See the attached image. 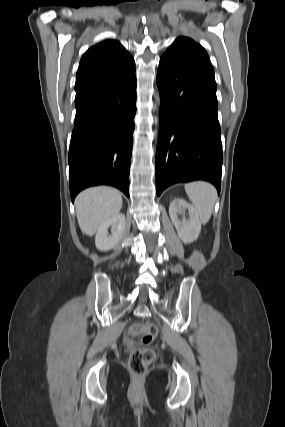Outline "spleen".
I'll use <instances>...</instances> for the list:
<instances>
[{"instance_id":"obj_1","label":"spleen","mask_w":285,"mask_h":427,"mask_svg":"<svg viewBox=\"0 0 285 427\" xmlns=\"http://www.w3.org/2000/svg\"><path fill=\"white\" fill-rule=\"evenodd\" d=\"M185 192L194 205L202 223H207L212 215L217 198L215 187L204 181L185 184Z\"/></svg>"}]
</instances>
